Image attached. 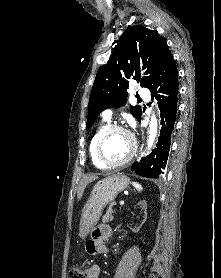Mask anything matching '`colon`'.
<instances>
[{
	"label": "colon",
	"instance_id": "colon-1",
	"mask_svg": "<svg viewBox=\"0 0 221 278\" xmlns=\"http://www.w3.org/2000/svg\"><path fill=\"white\" fill-rule=\"evenodd\" d=\"M68 278H87V271L81 266H73L68 271Z\"/></svg>",
	"mask_w": 221,
	"mask_h": 278
}]
</instances>
